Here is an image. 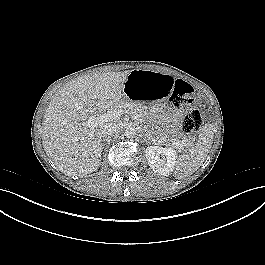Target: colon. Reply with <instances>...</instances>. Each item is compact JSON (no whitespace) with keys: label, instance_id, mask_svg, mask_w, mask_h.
I'll list each match as a JSON object with an SVG mask.
<instances>
[{"label":"colon","instance_id":"colon-1","mask_svg":"<svg viewBox=\"0 0 265 265\" xmlns=\"http://www.w3.org/2000/svg\"><path fill=\"white\" fill-rule=\"evenodd\" d=\"M170 100L175 106L195 105L197 102L192 86L183 80L174 81ZM202 124V114L193 110L184 117L181 127L185 134H194L200 131Z\"/></svg>","mask_w":265,"mask_h":265}]
</instances>
